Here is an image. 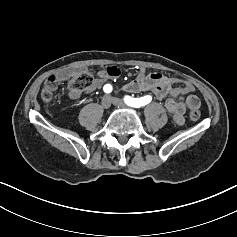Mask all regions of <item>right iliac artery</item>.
I'll return each instance as SVG.
<instances>
[{"label": "right iliac artery", "instance_id": "1", "mask_svg": "<svg viewBox=\"0 0 237 237\" xmlns=\"http://www.w3.org/2000/svg\"><path fill=\"white\" fill-rule=\"evenodd\" d=\"M103 90H104L105 93H110L112 91V86L110 84H106L103 87Z\"/></svg>", "mask_w": 237, "mask_h": 237}]
</instances>
